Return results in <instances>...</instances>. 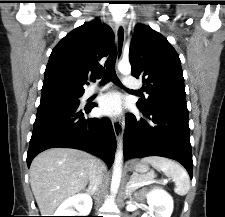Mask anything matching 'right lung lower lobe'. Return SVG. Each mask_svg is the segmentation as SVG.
Here are the masks:
<instances>
[{
    "label": "right lung lower lobe",
    "mask_w": 225,
    "mask_h": 217,
    "mask_svg": "<svg viewBox=\"0 0 225 217\" xmlns=\"http://www.w3.org/2000/svg\"><path fill=\"white\" fill-rule=\"evenodd\" d=\"M95 104L40 103L27 153L28 167L40 152L52 147L76 148L113 162L116 139L111 122L84 118Z\"/></svg>",
    "instance_id": "obj_1"
}]
</instances>
